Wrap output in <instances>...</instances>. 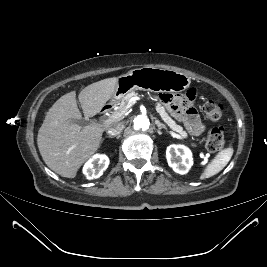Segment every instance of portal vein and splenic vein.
Returning <instances> with one entry per match:
<instances>
[{
    "label": "portal vein and splenic vein",
    "instance_id": "portal-vein-and-splenic-vein-1",
    "mask_svg": "<svg viewBox=\"0 0 267 267\" xmlns=\"http://www.w3.org/2000/svg\"><path fill=\"white\" fill-rule=\"evenodd\" d=\"M137 100H139V97H133V98H131L129 100L127 106H126V109L128 110L130 107H132L136 103ZM126 111L114 112L113 115L110 117L109 120H115V119L121 118L125 114Z\"/></svg>",
    "mask_w": 267,
    "mask_h": 267
}]
</instances>
